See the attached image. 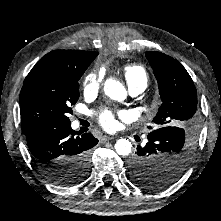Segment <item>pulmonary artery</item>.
I'll return each instance as SVG.
<instances>
[{
    "instance_id": "e3ab8cb5",
    "label": "pulmonary artery",
    "mask_w": 221,
    "mask_h": 221,
    "mask_svg": "<svg viewBox=\"0 0 221 221\" xmlns=\"http://www.w3.org/2000/svg\"><path fill=\"white\" fill-rule=\"evenodd\" d=\"M143 90H144V88H141V87L140 88H130V94L133 95V96H136V95L142 93ZM73 126L77 127L78 126V122L74 121L73 122Z\"/></svg>"
}]
</instances>
